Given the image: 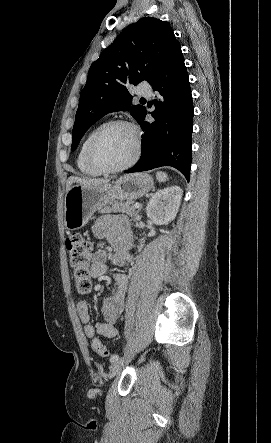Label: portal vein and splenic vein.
Masks as SVG:
<instances>
[{"label":"portal vein and splenic vein","instance_id":"obj_1","mask_svg":"<svg viewBox=\"0 0 271 443\" xmlns=\"http://www.w3.org/2000/svg\"><path fill=\"white\" fill-rule=\"evenodd\" d=\"M134 208H140V204H134Z\"/></svg>","mask_w":271,"mask_h":443}]
</instances>
